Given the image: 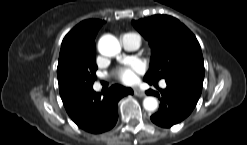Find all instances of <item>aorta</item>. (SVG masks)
I'll return each mask as SVG.
<instances>
[{"mask_svg": "<svg viewBox=\"0 0 247 145\" xmlns=\"http://www.w3.org/2000/svg\"><path fill=\"white\" fill-rule=\"evenodd\" d=\"M98 50L104 56L113 57L120 53L121 46L116 37L106 34L100 38ZM143 107L147 111H155L158 108V101L152 96L145 97L143 100Z\"/></svg>", "mask_w": 247, "mask_h": 145, "instance_id": "aorta-1", "label": "aorta"}]
</instances>
